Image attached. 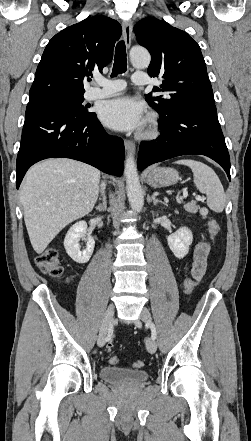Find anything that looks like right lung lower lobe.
Listing matches in <instances>:
<instances>
[{"instance_id": "98d812e1", "label": "right lung lower lobe", "mask_w": 251, "mask_h": 441, "mask_svg": "<svg viewBox=\"0 0 251 441\" xmlns=\"http://www.w3.org/2000/svg\"><path fill=\"white\" fill-rule=\"evenodd\" d=\"M65 157L101 171L123 174L124 144L107 135L95 113L80 118L60 109L28 103L16 163V187L30 166L46 158Z\"/></svg>"}]
</instances>
